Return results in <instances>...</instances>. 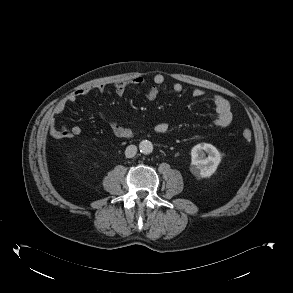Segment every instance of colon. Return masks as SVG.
<instances>
[{
	"instance_id": "1",
	"label": "colon",
	"mask_w": 293,
	"mask_h": 293,
	"mask_svg": "<svg viewBox=\"0 0 293 293\" xmlns=\"http://www.w3.org/2000/svg\"><path fill=\"white\" fill-rule=\"evenodd\" d=\"M65 130H62V131H60V132H64ZM242 136H243V139L246 141V142H251V140H252V133H251V131L250 130H248V129H246V130H244L243 131V133H242Z\"/></svg>"
}]
</instances>
